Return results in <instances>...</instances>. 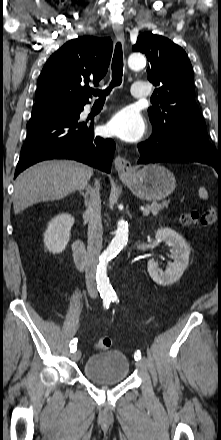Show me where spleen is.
Segmentation results:
<instances>
[{
	"instance_id": "obj_1",
	"label": "spleen",
	"mask_w": 221,
	"mask_h": 440,
	"mask_svg": "<svg viewBox=\"0 0 221 440\" xmlns=\"http://www.w3.org/2000/svg\"><path fill=\"white\" fill-rule=\"evenodd\" d=\"M199 197L203 200H207L208 199V193L206 191V189L204 187H200L199 188Z\"/></svg>"
}]
</instances>
